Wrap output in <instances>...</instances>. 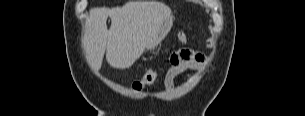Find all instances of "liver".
I'll return each instance as SVG.
<instances>
[{"mask_svg":"<svg viewBox=\"0 0 305 116\" xmlns=\"http://www.w3.org/2000/svg\"><path fill=\"white\" fill-rule=\"evenodd\" d=\"M108 17L111 19L109 30ZM169 17L171 9L155 0L129 1L111 9H91L83 38L90 68L98 71L105 53L111 67L122 70L131 67Z\"/></svg>","mask_w":305,"mask_h":116,"instance_id":"6515ba94","label":"liver"}]
</instances>
